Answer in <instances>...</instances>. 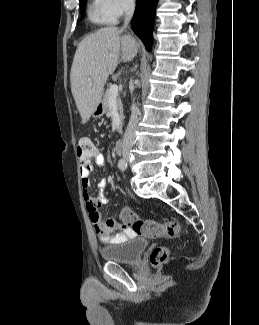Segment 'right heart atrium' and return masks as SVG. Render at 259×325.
Returning a JSON list of instances; mask_svg holds the SVG:
<instances>
[{
  "label": "right heart atrium",
  "instance_id": "1",
  "mask_svg": "<svg viewBox=\"0 0 259 325\" xmlns=\"http://www.w3.org/2000/svg\"><path fill=\"white\" fill-rule=\"evenodd\" d=\"M106 11L115 19L121 17L134 5V0H103Z\"/></svg>",
  "mask_w": 259,
  "mask_h": 325
}]
</instances>
